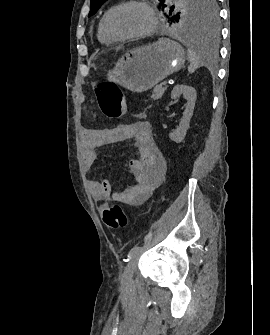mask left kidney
Wrapping results in <instances>:
<instances>
[{"label": "left kidney", "mask_w": 270, "mask_h": 335, "mask_svg": "<svg viewBox=\"0 0 270 335\" xmlns=\"http://www.w3.org/2000/svg\"><path fill=\"white\" fill-rule=\"evenodd\" d=\"M180 94H183V98L187 100V104H185L186 108L183 112V118L175 132H172V134H169V138L173 140V142H176V144H180L182 140H184L186 136V132L189 128V122L190 118L193 116V110L196 102V90L192 88V86H175L171 92V98L175 100V98H178Z\"/></svg>", "instance_id": "obj_1"}]
</instances>
